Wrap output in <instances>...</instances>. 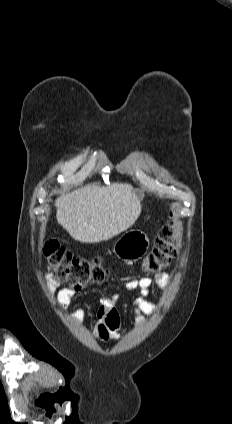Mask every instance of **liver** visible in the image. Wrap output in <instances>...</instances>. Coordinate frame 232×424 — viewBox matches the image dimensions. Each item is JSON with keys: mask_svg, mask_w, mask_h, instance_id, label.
Instances as JSON below:
<instances>
[{"mask_svg": "<svg viewBox=\"0 0 232 424\" xmlns=\"http://www.w3.org/2000/svg\"><path fill=\"white\" fill-rule=\"evenodd\" d=\"M56 219L82 243L108 240L131 227L141 212L140 196L127 183L86 185L55 201Z\"/></svg>", "mask_w": 232, "mask_h": 424, "instance_id": "6515ba94", "label": "liver"}]
</instances>
